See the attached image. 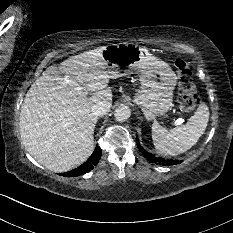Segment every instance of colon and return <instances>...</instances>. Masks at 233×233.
<instances>
[{
    "instance_id": "colon-1",
    "label": "colon",
    "mask_w": 233,
    "mask_h": 233,
    "mask_svg": "<svg viewBox=\"0 0 233 233\" xmlns=\"http://www.w3.org/2000/svg\"><path fill=\"white\" fill-rule=\"evenodd\" d=\"M174 67L178 76V104L183 111L190 112L198 105V96L195 93L192 72L182 59H176Z\"/></svg>"
}]
</instances>
